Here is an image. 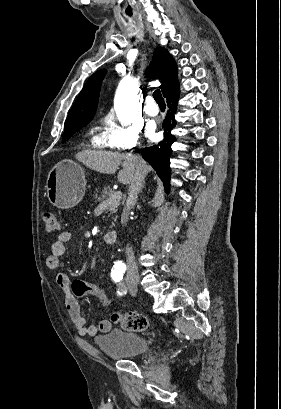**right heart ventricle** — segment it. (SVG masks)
I'll return each instance as SVG.
<instances>
[{
	"instance_id": "right-heart-ventricle-1",
	"label": "right heart ventricle",
	"mask_w": 281,
	"mask_h": 409,
	"mask_svg": "<svg viewBox=\"0 0 281 409\" xmlns=\"http://www.w3.org/2000/svg\"><path fill=\"white\" fill-rule=\"evenodd\" d=\"M93 146H94L95 148H97V149H100V150H103V149L106 147V145H105V143H104V141H103V139H102L101 134L97 135V136L94 138Z\"/></svg>"
}]
</instances>
